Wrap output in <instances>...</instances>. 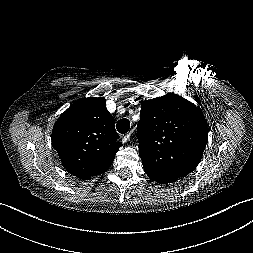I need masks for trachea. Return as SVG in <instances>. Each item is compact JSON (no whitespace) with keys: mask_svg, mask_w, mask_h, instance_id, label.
Masks as SVG:
<instances>
[{"mask_svg":"<svg viewBox=\"0 0 253 253\" xmlns=\"http://www.w3.org/2000/svg\"><path fill=\"white\" fill-rule=\"evenodd\" d=\"M116 128H117L118 132L121 134L127 133L130 128L129 120L128 119H120L116 124Z\"/></svg>","mask_w":253,"mask_h":253,"instance_id":"3493384b","label":"trachea"}]
</instances>
